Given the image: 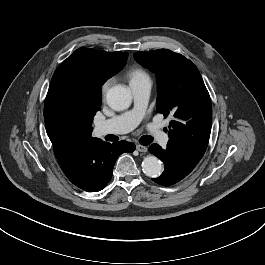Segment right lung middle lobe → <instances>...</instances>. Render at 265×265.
<instances>
[{"mask_svg": "<svg viewBox=\"0 0 265 265\" xmlns=\"http://www.w3.org/2000/svg\"><path fill=\"white\" fill-rule=\"evenodd\" d=\"M68 58L56 69L44 105L46 129L64 137L92 128L93 117L101 106L104 82L95 74H79L78 64L88 61L107 68L84 51Z\"/></svg>", "mask_w": 265, "mask_h": 265, "instance_id": "right-lung-middle-lobe-1", "label": "right lung middle lobe"}]
</instances>
